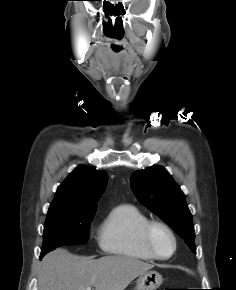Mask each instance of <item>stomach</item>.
<instances>
[{
  "mask_svg": "<svg viewBox=\"0 0 236 290\" xmlns=\"http://www.w3.org/2000/svg\"><path fill=\"white\" fill-rule=\"evenodd\" d=\"M163 282V278L157 271H147L137 279L136 290H156Z\"/></svg>",
  "mask_w": 236,
  "mask_h": 290,
  "instance_id": "stomach-1",
  "label": "stomach"
}]
</instances>
